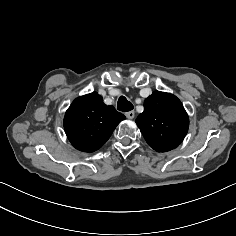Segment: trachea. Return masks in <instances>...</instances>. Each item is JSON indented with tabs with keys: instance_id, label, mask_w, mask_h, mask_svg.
Returning <instances> with one entry per match:
<instances>
[{
	"instance_id": "3493384b",
	"label": "trachea",
	"mask_w": 236,
	"mask_h": 236,
	"mask_svg": "<svg viewBox=\"0 0 236 236\" xmlns=\"http://www.w3.org/2000/svg\"><path fill=\"white\" fill-rule=\"evenodd\" d=\"M134 108L133 104L129 102L124 96H121L117 102V109L119 111L128 112Z\"/></svg>"
}]
</instances>
